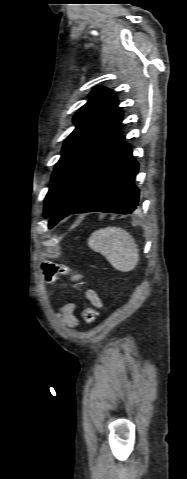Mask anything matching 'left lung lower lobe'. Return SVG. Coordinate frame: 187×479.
<instances>
[{"label": "left lung lower lobe", "mask_w": 187, "mask_h": 479, "mask_svg": "<svg viewBox=\"0 0 187 479\" xmlns=\"http://www.w3.org/2000/svg\"><path fill=\"white\" fill-rule=\"evenodd\" d=\"M139 165L124 137L96 159L51 215L49 228L69 214L92 211L130 214L138 206L134 184Z\"/></svg>", "instance_id": "obj_1"}]
</instances>
